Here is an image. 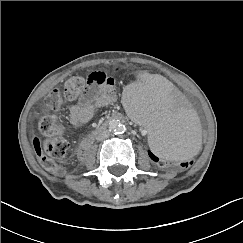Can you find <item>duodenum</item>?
I'll return each instance as SVG.
<instances>
[{
  "label": "duodenum",
  "mask_w": 243,
  "mask_h": 243,
  "mask_svg": "<svg viewBox=\"0 0 243 243\" xmlns=\"http://www.w3.org/2000/svg\"><path fill=\"white\" fill-rule=\"evenodd\" d=\"M123 120V116L121 114H115L113 115L108 121H106L103 125H101L96 131L95 133L89 135L88 137H86L80 147H79V150H78V153L81 157H84L88 150L90 149V146H91V142L95 136V134L101 132V131H104L106 129L109 128V126L111 125V123H117V122H120Z\"/></svg>",
  "instance_id": "obj_1"
}]
</instances>
